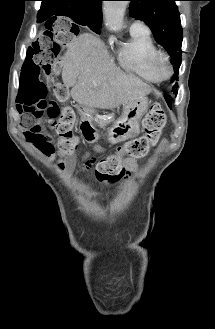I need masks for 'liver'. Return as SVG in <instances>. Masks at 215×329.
I'll return each instance as SVG.
<instances>
[{
  "label": "liver",
  "instance_id": "liver-1",
  "mask_svg": "<svg viewBox=\"0 0 215 329\" xmlns=\"http://www.w3.org/2000/svg\"><path fill=\"white\" fill-rule=\"evenodd\" d=\"M62 80L66 87H72L74 101L91 108H115L151 93L149 85L118 68L102 41L89 33L69 43Z\"/></svg>",
  "mask_w": 215,
  "mask_h": 329
}]
</instances>
